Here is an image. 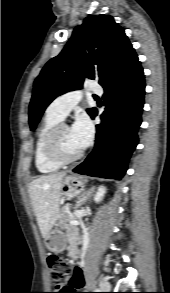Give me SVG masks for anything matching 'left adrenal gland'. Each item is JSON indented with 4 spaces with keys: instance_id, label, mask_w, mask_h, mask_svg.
Returning <instances> with one entry per match:
<instances>
[{
    "instance_id": "a2214340",
    "label": "left adrenal gland",
    "mask_w": 170,
    "mask_h": 293,
    "mask_svg": "<svg viewBox=\"0 0 170 293\" xmlns=\"http://www.w3.org/2000/svg\"><path fill=\"white\" fill-rule=\"evenodd\" d=\"M94 192V188H90L85 194H83L79 201L77 202L76 207H80L81 205L85 204L92 196V193Z\"/></svg>"
}]
</instances>
